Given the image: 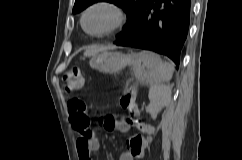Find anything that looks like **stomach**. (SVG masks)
I'll list each match as a JSON object with an SVG mask.
<instances>
[{"instance_id":"stomach-1","label":"stomach","mask_w":242,"mask_h":160,"mask_svg":"<svg viewBox=\"0 0 242 160\" xmlns=\"http://www.w3.org/2000/svg\"><path fill=\"white\" fill-rule=\"evenodd\" d=\"M150 53L125 54L104 51L90 60V67L104 73H116L128 65H132L138 80L142 83H148L152 78Z\"/></svg>"}]
</instances>
